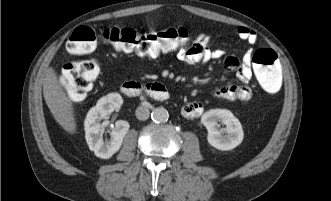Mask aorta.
I'll return each instance as SVG.
<instances>
[{
  "instance_id": "1",
  "label": "aorta",
  "mask_w": 331,
  "mask_h": 201,
  "mask_svg": "<svg viewBox=\"0 0 331 201\" xmlns=\"http://www.w3.org/2000/svg\"><path fill=\"white\" fill-rule=\"evenodd\" d=\"M169 114L164 107L154 108L151 113V118L156 123H163L168 120Z\"/></svg>"
}]
</instances>
